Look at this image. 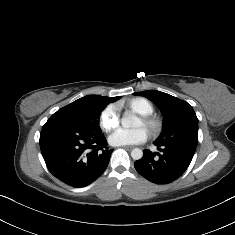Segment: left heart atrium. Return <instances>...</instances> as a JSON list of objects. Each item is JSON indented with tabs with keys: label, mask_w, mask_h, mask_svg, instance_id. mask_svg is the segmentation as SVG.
<instances>
[{
	"label": "left heart atrium",
	"mask_w": 235,
	"mask_h": 235,
	"mask_svg": "<svg viewBox=\"0 0 235 235\" xmlns=\"http://www.w3.org/2000/svg\"><path fill=\"white\" fill-rule=\"evenodd\" d=\"M148 139V132L140 127L134 130L117 129L108 137V142L113 146H128L144 143Z\"/></svg>",
	"instance_id": "39dd6f15"
}]
</instances>
